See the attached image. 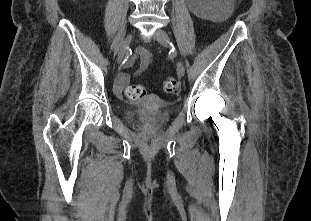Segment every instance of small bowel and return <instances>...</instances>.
<instances>
[{"label": "small bowel", "instance_id": "obj_1", "mask_svg": "<svg viewBox=\"0 0 311 221\" xmlns=\"http://www.w3.org/2000/svg\"><path fill=\"white\" fill-rule=\"evenodd\" d=\"M137 58L139 60V69L136 74L139 75L145 71L152 62L151 53L145 48L137 49Z\"/></svg>", "mask_w": 311, "mask_h": 221}]
</instances>
